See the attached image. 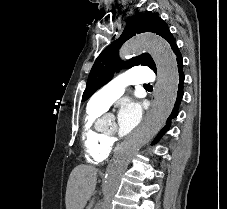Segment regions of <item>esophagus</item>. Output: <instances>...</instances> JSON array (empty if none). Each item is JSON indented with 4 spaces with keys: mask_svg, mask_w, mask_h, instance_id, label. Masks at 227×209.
Segmentation results:
<instances>
[{
    "mask_svg": "<svg viewBox=\"0 0 227 209\" xmlns=\"http://www.w3.org/2000/svg\"><path fill=\"white\" fill-rule=\"evenodd\" d=\"M156 99H157V85L154 86V91L152 94V102L149 108H147V112H146L147 116H152L154 113V110L156 109V107H158V102H155Z\"/></svg>",
    "mask_w": 227,
    "mask_h": 209,
    "instance_id": "obj_1",
    "label": "esophagus"
}]
</instances>
